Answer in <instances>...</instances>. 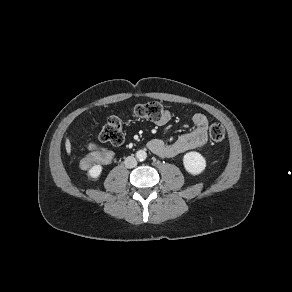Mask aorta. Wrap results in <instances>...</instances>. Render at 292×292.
Returning a JSON list of instances; mask_svg holds the SVG:
<instances>
[{"label":"aorta","mask_w":292,"mask_h":292,"mask_svg":"<svg viewBox=\"0 0 292 292\" xmlns=\"http://www.w3.org/2000/svg\"><path fill=\"white\" fill-rule=\"evenodd\" d=\"M136 157L139 161H144L147 157V153L144 150H139L136 153Z\"/></svg>","instance_id":"762f6f07"}]
</instances>
